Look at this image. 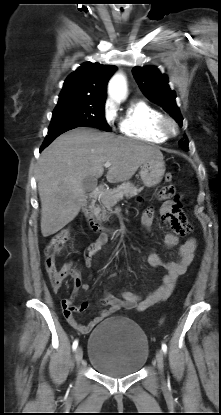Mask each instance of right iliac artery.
Wrapping results in <instances>:
<instances>
[{
	"mask_svg": "<svg viewBox=\"0 0 221 415\" xmlns=\"http://www.w3.org/2000/svg\"><path fill=\"white\" fill-rule=\"evenodd\" d=\"M77 346H78V340H75L72 345L73 350H75Z\"/></svg>",
	"mask_w": 221,
	"mask_h": 415,
	"instance_id": "1",
	"label": "right iliac artery"
}]
</instances>
